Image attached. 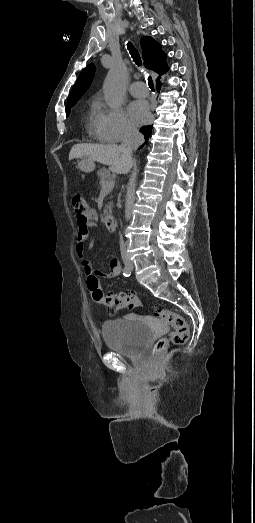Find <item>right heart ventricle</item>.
<instances>
[{"mask_svg":"<svg viewBox=\"0 0 255 523\" xmlns=\"http://www.w3.org/2000/svg\"><path fill=\"white\" fill-rule=\"evenodd\" d=\"M88 135L98 143H107L114 140L110 128L108 111L98 103H94L87 120Z\"/></svg>","mask_w":255,"mask_h":523,"instance_id":"obj_1","label":"right heart ventricle"}]
</instances>
